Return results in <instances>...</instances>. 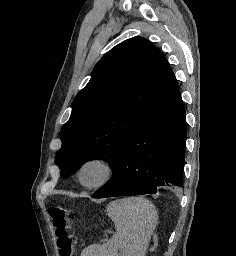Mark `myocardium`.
Masks as SVG:
<instances>
[{"instance_id": "1", "label": "myocardium", "mask_w": 236, "mask_h": 256, "mask_svg": "<svg viewBox=\"0 0 236 256\" xmlns=\"http://www.w3.org/2000/svg\"><path fill=\"white\" fill-rule=\"evenodd\" d=\"M89 164H98V165L102 166L104 169V173H103L102 177L99 178L96 182L90 183V184L85 183L82 180L83 169ZM115 172H116L115 165L109 158H107L105 156H101V155H94V156H90V157L84 159L80 163V165L78 166V169H77V178H78L79 183L83 187L88 188V189H95V188H99V187L107 184L114 177Z\"/></svg>"}]
</instances>
